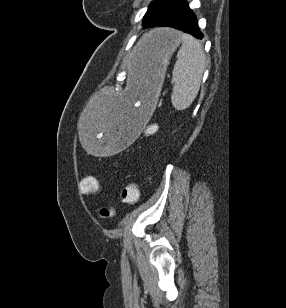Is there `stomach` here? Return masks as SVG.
<instances>
[{"mask_svg":"<svg viewBox=\"0 0 286 308\" xmlns=\"http://www.w3.org/2000/svg\"><path fill=\"white\" fill-rule=\"evenodd\" d=\"M181 43V33L161 28L143 37L127 55L128 87L120 91H99L88 100L79 125L83 149L90 159H107V153H120L128 144H139V125H146L147 107H154L170 57Z\"/></svg>","mask_w":286,"mask_h":308,"instance_id":"stomach-1","label":"stomach"}]
</instances>
